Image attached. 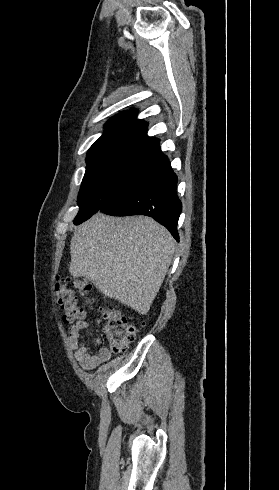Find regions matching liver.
Segmentation results:
<instances>
[{
    "label": "liver",
    "instance_id": "liver-1",
    "mask_svg": "<svg viewBox=\"0 0 279 490\" xmlns=\"http://www.w3.org/2000/svg\"><path fill=\"white\" fill-rule=\"evenodd\" d=\"M174 240L148 216L111 218L95 214L71 238L73 278L96 288L141 316L148 314L174 256Z\"/></svg>",
    "mask_w": 279,
    "mask_h": 490
}]
</instances>
